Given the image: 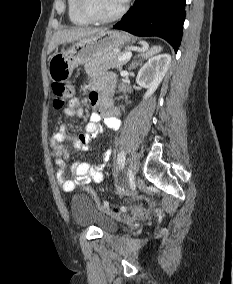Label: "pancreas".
I'll use <instances>...</instances> for the list:
<instances>
[{"label": "pancreas", "instance_id": "1", "mask_svg": "<svg viewBox=\"0 0 233 284\" xmlns=\"http://www.w3.org/2000/svg\"><path fill=\"white\" fill-rule=\"evenodd\" d=\"M123 52L112 51L104 54L90 63L85 64L84 69L89 75L104 73L107 69H121L127 61H119Z\"/></svg>", "mask_w": 233, "mask_h": 284}]
</instances>
